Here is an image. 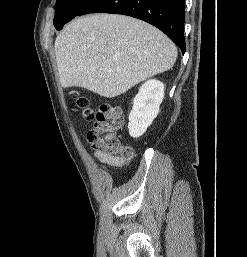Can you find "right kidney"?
<instances>
[{"mask_svg": "<svg viewBox=\"0 0 247 257\" xmlns=\"http://www.w3.org/2000/svg\"><path fill=\"white\" fill-rule=\"evenodd\" d=\"M164 98V84L156 79L146 81L133 100L129 114V134L133 138L142 136L159 113Z\"/></svg>", "mask_w": 247, "mask_h": 257, "instance_id": "right-kidney-1", "label": "right kidney"}]
</instances>
